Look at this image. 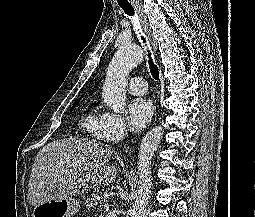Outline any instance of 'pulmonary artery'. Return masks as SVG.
Wrapping results in <instances>:
<instances>
[{
	"label": "pulmonary artery",
	"mask_w": 255,
	"mask_h": 217,
	"mask_svg": "<svg viewBox=\"0 0 255 217\" xmlns=\"http://www.w3.org/2000/svg\"><path fill=\"white\" fill-rule=\"evenodd\" d=\"M128 89L133 95H144L147 92V83L143 77L135 76L130 79Z\"/></svg>",
	"instance_id": "e3ab8cb5"
}]
</instances>
